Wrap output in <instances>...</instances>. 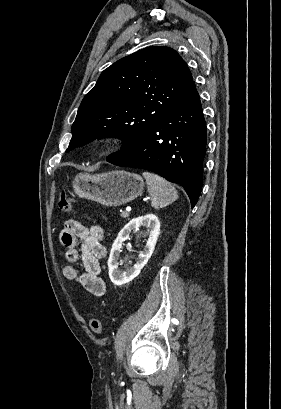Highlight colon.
<instances>
[{"label":"colon","mask_w":281,"mask_h":409,"mask_svg":"<svg viewBox=\"0 0 281 409\" xmlns=\"http://www.w3.org/2000/svg\"><path fill=\"white\" fill-rule=\"evenodd\" d=\"M59 208L64 213H70L73 210L72 199L63 191L60 192ZM103 322L100 317H94L91 320L90 327L94 333H100L102 330Z\"/></svg>","instance_id":"colon-1"}]
</instances>
